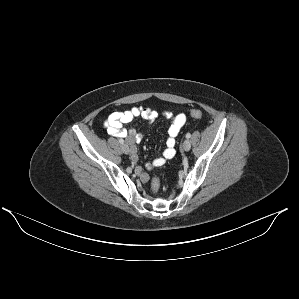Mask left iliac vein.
Here are the masks:
<instances>
[{
  "mask_svg": "<svg viewBox=\"0 0 299 299\" xmlns=\"http://www.w3.org/2000/svg\"><path fill=\"white\" fill-rule=\"evenodd\" d=\"M182 148L184 151H189L191 148V142L189 140H185L182 144Z\"/></svg>",
  "mask_w": 299,
  "mask_h": 299,
  "instance_id": "left-iliac-vein-1",
  "label": "left iliac vein"
}]
</instances>
